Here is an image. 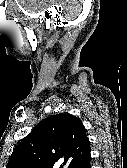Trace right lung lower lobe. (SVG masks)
<instances>
[{
    "mask_svg": "<svg viewBox=\"0 0 127 168\" xmlns=\"http://www.w3.org/2000/svg\"><path fill=\"white\" fill-rule=\"evenodd\" d=\"M91 157L87 158L84 162L76 166V168H90Z\"/></svg>",
    "mask_w": 127,
    "mask_h": 168,
    "instance_id": "obj_1",
    "label": "right lung lower lobe"
}]
</instances>
